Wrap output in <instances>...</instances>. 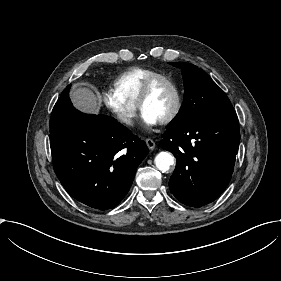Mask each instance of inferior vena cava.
<instances>
[{"instance_id":"obj_1","label":"inferior vena cava","mask_w":281,"mask_h":281,"mask_svg":"<svg viewBox=\"0 0 281 281\" xmlns=\"http://www.w3.org/2000/svg\"><path fill=\"white\" fill-rule=\"evenodd\" d=\"M118 117L123 123L127 125L131 126L133 124V120L131 118L126 117L125 115H119Z\"/></svg>"}]
</instances>
